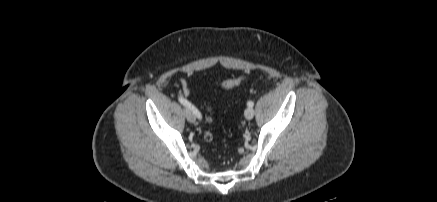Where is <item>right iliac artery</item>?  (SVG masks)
Returning a JSON list of instances; mask_svg holds the SVG:
<instances>
[{
    "instance_id": "right-iliac-artery-1",
    "label": "right iliac artery",
    "mask_w": 437,
    "mask_h": 202,
    "mask_svg": "<svg viewBox=\"0 0 437 202\" xmlns=\"http://www.w3.org/2000/svg\"><path fill=\"white\" fill-rule=\"evenodd\" d=\"M178 100L185 107L191 108L198 119L202 118L200 112L193 105H191V103H189L186 99H184L183 97H178Z\"/></svg>"
}]
</instances>
